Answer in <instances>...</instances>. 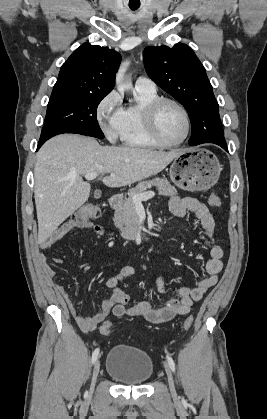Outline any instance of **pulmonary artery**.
<instances>
[{
    "mask_svg": "<svg viewBox=\"0 0 267 419\" xmlns=\"http://www.w3.org/2000/svg\"><path fill=\"white\" fill-rule=\"evenodd\" d=\"M135 89L146 90V91H156V85L151 79L140 76L135 81Z\"/></svg>",
    "mask_w": 267,
    "mask_h": 419,
    "instance_id": "e3ab8cb5",
    "label": "pulmonary artery"
}]
</instances>
